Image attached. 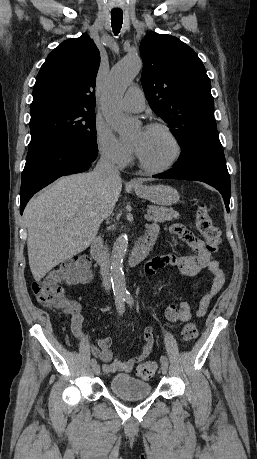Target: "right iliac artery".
I'll use <instances>...</instances> for the list:
<instances>
[{"label":"right iliac artery","mask_w":257,"mask_h":459,"mask_svg":"<svg viewBox=\"0 0 257 459\" xmlns=\"http://www.w3.org/2000/svg\"><path fill=\"white\" fill-rule=\"evenodd\" d=\"M124 301H125V299H124L123 296H116V298H115L116 308H117V310H118L120 315H122L123 312H124ZM96 364H97L96 359L92 358L90 360V365L93 367Z\"/></svg>","instance_id":"right-iliac-artery-1"}]
</instances>
